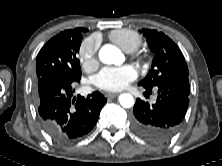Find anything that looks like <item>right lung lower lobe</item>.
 Listing matches in <instances>:
<instances>
[{
  "label": "right lung lower lobe",
  "instance_id": "1",
  "mask_svg": "<svg viewBox=\"0 0 222 166\" xmlns=\"http://www.w3.org/2000/svg\"><path fill=\"white\" fill-rule=\"evenodd\" d=\"M80 81L64 72H48L37 78L36 104L44 130L56 141L67 143L89 133L107 99L98 91L86 98H72Z\"/></svg>",
  "mask_w": 222,
  "mask_h": 166
}]
</instances>
